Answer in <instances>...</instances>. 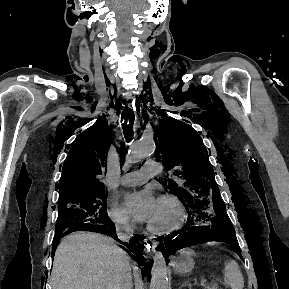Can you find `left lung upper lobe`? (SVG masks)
<instances>
[{"mask_svg":"<svg viewBox=\"0 0 289 289\" xmlns=\"http://www.w3.org/2000/svg\"><path fill=\"white\" fill-rule=\"evenodd\" d=\"M159 114L164 117L157 128L153 126L155 156L167 170L177 168V182L170 179L167 188L191 212L199 202L212 212L213 204L223 201L201 137L190 125L167 117L163 111Z\"/></svg>","mask_w":289,"mask_h":289,"instance_id":"left-lung-upper-lobe-1","label":"left lung upper lobe"}]
</instances>
